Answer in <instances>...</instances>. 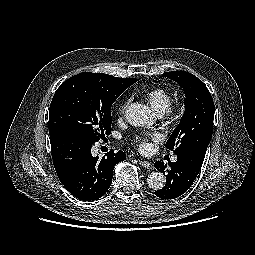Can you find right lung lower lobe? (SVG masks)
I'll return each mask as SVG.
<instances>
[{
	"label": "right lung lower lobe",
	"instance_id": "1",
	"mask_svg": "<svg viewBox=\"0 0 255 255\" xmlns=\"http://www.w3.org/2000/svg\"><path fill=\"white\" fill-rule=\"evenodd\" d=\"M52 159L64 187L76 198L96 200L109 189L114 166L126 159L123 151L93 157V143L65 132L50 135Z\"/></svg>",
	"mask_w": 255,
	"mask_h": 255
}]
</instances>
